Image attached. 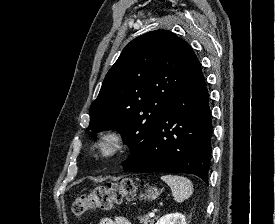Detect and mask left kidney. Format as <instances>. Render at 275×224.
<instances>
[{"instance_id": "5707ae66", "label": "left kidney", "mask_w": 275, "mask_h": 224, "mask_svg": "<svg viewBox=\"0 0 275 224\" xmlns=\"http://www.w3.org/2000/svg\"><path fill=\"white\" fill-rule=\"evenodd\" d=\"M156 224H186L185 216L181 213L167 214L161 217Z\"/></svg>"}]
</instances>
